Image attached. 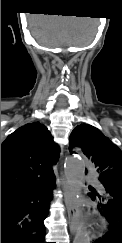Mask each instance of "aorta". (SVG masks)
<instances>
[{
	"mask_svg": "<svg viewBox=\"0 0 122 243\" xmlns=\"http://www.w3.org/2000/svg\"><path fill=\"white\" fill-rule=\"evenodd\" d=\"M85 165L82 160L69 158L65 162V175L67 183L74 195L81 193L83 188V179ZM73 243H90V236L86 228L81 224L76 230Z\"/></svg>",
	"mask_w": 122,
	"mask_h": 243,
	"instance_id": "762f6f07",
	"label": "aorta"
}]
</instances>
